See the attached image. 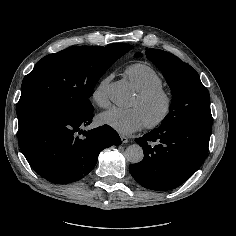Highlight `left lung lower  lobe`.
<instances>
[{
  "label": "left lung lower lobe",
  "mask_w": 236,
  "mask_h": 236,
  "mask_svg": "<svg viewBox=\"0 0 236 236\" xmlns=\"http://www.w3.org/2000/svg\"><path fill=\"white\" fill-rule=\"evenodd\" d=\"M212 125L184 123L158 127L135 141L144 158L129 166L133 178L143 187L165 191L180 186L203 164Z\"/></svg>",
  "instance_id": "left-lung-lower-lobe-1"
}]
</instances>
